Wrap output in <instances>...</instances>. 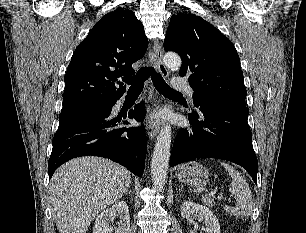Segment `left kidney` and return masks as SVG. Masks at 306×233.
I'll use <instances>...</instances> for the list:
<instances>
[{
    "mask_svg": "<svg viewBox=\"0 0 306 233\" xmlns=\"http://www.w3.org/2000/svg\"><path fill=\"white\" fill-rule=\"evenodd\" d=\"M180 210L181 216L183 218H190L194 214H198L199 221L205 224V227H203L205 232L220 233V225L218 219L209 208L191 201H186L181 205ZM190 233L196 232L191 230Z\"/></svg>",
    "mask_w": 306,
    "mask_h": 233,
    "instance_id": "1",
    "label": "left kidney"
}]
</instances>
